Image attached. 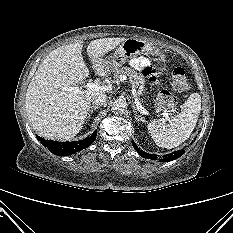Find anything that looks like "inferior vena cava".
<instances>
[{
  "mask_svg": "<svg viewBox=\"0 0 233 233\" xmlns=\"http://www.w3.org/2000/svg\"><path fill=\"white\" fill-rule=\"evenodd\" d=\"M107 96L105 94H98L92 97L91 102L96 106H101L106 103Z\"/></svg>",
  "mask_w": 233,
  "mask_h": 233,
  "instance_id": "1",
  "label": "inferior vena cava"
}]
</instances>
